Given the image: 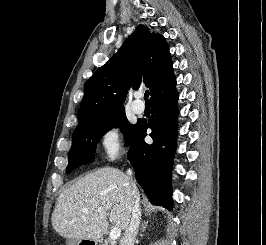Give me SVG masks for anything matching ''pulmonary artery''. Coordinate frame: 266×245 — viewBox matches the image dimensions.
I'll list each match as a JSON object with an SVG mask.
<instances>
[{
	"mask_svg": "<svg viewBox=\"0 0 266 245\" xmlns=\"http://www.w3.org/2000/svg\"><path fill=\"white\" fill-rule=\"evenodd\" d=\"M142 94L136 95L135 100L132 102V110L136 114H142L145 110V105L141 102Z\"/></svg>",
	"mask_w": 266,
	"mask_h": 245,
	"instance_id": "obj_1",
	"label": "pulmonary artery"
}]
</instances>
